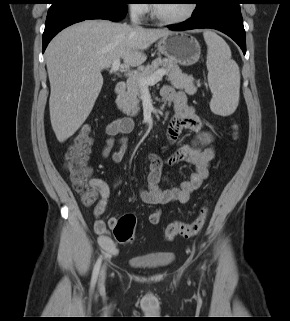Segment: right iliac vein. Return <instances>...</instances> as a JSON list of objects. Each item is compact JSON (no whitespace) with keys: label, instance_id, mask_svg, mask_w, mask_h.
<instances>
[{"label":"right iliac vein","instance_id":"right-iliac-vein-1","mask_svg":"<svg viewBox=\"0 0 290 321\" xmlns=\"http://www.w3.org/2000/svg\"><path fill=\"white\" fill-rule=\"evenodd\" d=\"M105 276H106V267L103 266L100 272V279H99L100 283L104 282Z\"/></svg>","mask_w":290,"mask_h":321}]
</instances>
